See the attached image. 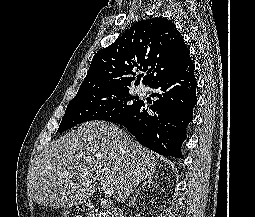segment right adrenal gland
I'll use <instances>...</instances> for the list:
<instances>
[{"label":"right adrenal gland","mask_w":255,"mask_h":217,"mask_svg":"<svg viewBox=\"0 0 255 217\" xmlns=\"http://www.w3.org/2000/svg\"><path fill=\"white\" fill-rule=\"evenodd\" d=\"M153 184H154L153 176H149L148 178H146V179L143 181L142 186L137 190L136 195L133 197V199L131 200V202L129 203V205H131V204H132V205H135L136 198L138 197L140 190H141L144 186H146V185L151 186V185H153Z\"/></svg>","instance_id":"1"}]
</instances>
